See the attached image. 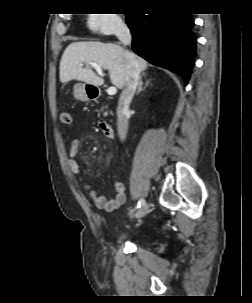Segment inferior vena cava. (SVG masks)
I'll return each mask as SVG.
<instances>
[{
  "instance_id": "602c4592",
  "label": "inferior vena cava",
  "mask_w": 252,
  "mask_h": 303,
  "mask_svg": "<svg viewBox=\"0 0 252 303\" xmlns=\"http://www.w3.org/2000/svg\"><path fill=\"white\" fill-rule=\"evenodd\" d=\"M117 38L124 44L130 45L132 37L128 26L119 23L116 29ZM140 69L137 61L131 53L126 52V79L125 87L120 95L117 106V127L121 140L126 138L128 130L129 105L136 91L139 80Z\"/></svg>"
}]
</instances>
